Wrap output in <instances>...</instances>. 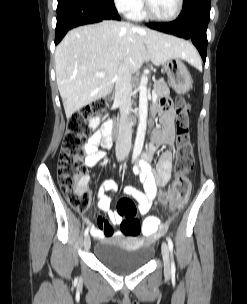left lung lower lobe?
<instances>
[{
  "label": "left lung lower lobe",
  "instance_id": "left-lung-lower-lobe-1",
  "mask_svg": "<svg viewBox=\"0 0 247 304\" xmlns=\"http://www.w3.org/2000/svg\"><path fill=\"white\" fill-rule=\"evenodd\" d=\"M211 0H188L183 5L179 17L170 23H149L148 27L173 34L175 36L190 39L206 60L207 51V26L210 20Z\"/></svg>",
  "mask_w": 247,
  "mask_h": 304
}]
</instances>
